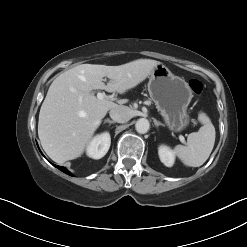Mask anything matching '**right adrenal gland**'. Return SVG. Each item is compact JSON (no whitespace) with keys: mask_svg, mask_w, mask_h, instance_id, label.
Here are the masks:
<instances>
[{"mask_svg":"<svg viewBox=\"0 0 247 247\" xmlns=\"http://www.w3.org/2000/svg\"><path fill=\"white\" fill-rule=\"evenodd\" d=\"M105 123H109V125H111V124H114L115 121H112V120H110V119H105V120H104V124H105Z\"/></svg>","mask_w":247,"mask_h":247,"instance_id":"1","label":"right adrenal gland"}]
</instances>
